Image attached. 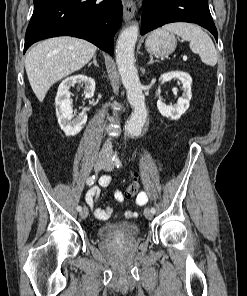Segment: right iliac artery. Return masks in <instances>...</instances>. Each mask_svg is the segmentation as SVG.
Instances as JSON below:
<instances>
[{
  "mask_svg": "<svg viewBox=\"0 0 247 296\" xmlns=\"http://www.w3.org/2000/svg\"><path fill=\"white\" fill-rule=\"evenodd\" d=\"M95 181H96V176L93 175V176H90V177L87 179L86 183H87V185L90 186V185L94 184ZM77 210H78V211H81V210H82V207H81V206H78V207H77Z\"/></svg>",
  "mask_w": 247,
  "mask_h": 296,
  "instance_id": "right-iliac-artery-1",
  "label": "right iliac artery"
}]
</instances>
